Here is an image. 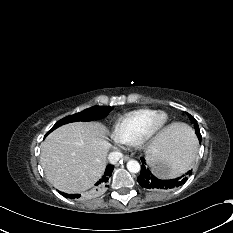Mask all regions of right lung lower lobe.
<instances>
[{
	"label": "right lung lower lobe",
	"instance_id": "right-lung-lower-lobe-1",
	"mask_svg": "<svg viewBox=\"0 0 233 233\" xmlns=\"http://www.w3.org/2000/svg\"><path fill=\"white\" fill-rule=\"evenodd\" d=\"M113 169H114L113 165H108L106 167L104 175L95 184V186L88 192V194L101 193L106 187H108L107 184H108L109 178L111 177ZM59 193L62 194L64 197L70 198V199H78L81 196L80 194H66V193H63V192H59Z\"/></svg>",
	"mask_w": 233,
	"mask_h": 233
}]
</instances>
